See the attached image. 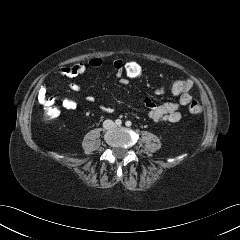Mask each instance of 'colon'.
<instances>
[{"label":"colon","instance_id":"1","mask_svg":"<svg viewBox=\"0 0 240 240\" xmlns=\"http://www.w3.org/2000/svg\"><path fill=\"white\" fill-rule=\"evenodd\" d=\"M123 75L129 80H138L144 75V66L137 59H129L123 62L122 66ZM193 84L189 79H178L172 83V93L177 96H181L185 93H188ZM189 111L192 114H199L203 111L202 105L192 100L189 103ZM58 115L57 110L53 108H48L46 111V117L48 119H53Z\"/></svg>","mask_w":240,"mask_h":240}]
</instances>
